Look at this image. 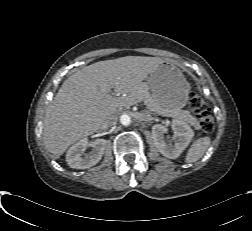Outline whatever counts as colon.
I'll return each instance as SVG.
<instances>
[{"label": "colon", "mask_w": 252, "mask_h": 231, "mask_svg": "<svg viewBox=\"0 0 252 231\" xmlns=\"http://www.w3.org/2000/svg\"><path fill=\"white\" fill-rule=\"evenodd\" d=\"M189 108L196 115L200 128L210 133L214 129V119L211 109L206 102L197 94L191 93L189 95Z\"/></svg>", "instance_id": "obj_1"}]
</instances>
